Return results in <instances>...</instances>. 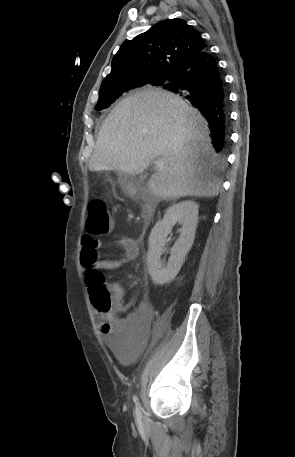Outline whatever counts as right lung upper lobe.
Listing matches in <instances>:
<instances>
[{"label": "right lung upper lobe", "instance_id": "cb5924a9", "mask_svg": "<svg viewBox=\"0 0 295 457\" xmlns=\"http://www.w3.org/2000/svg\"><path fill=\"white\" fill-rule=\"evenodd\" d=\"M205 47L198 31L183 19L161 21L133 40L123 42L100 91L130 90L152 78L174 76L182 64Z\"/></svg>", "mask_w": 295, "mask_h": 457}]
</instances>
